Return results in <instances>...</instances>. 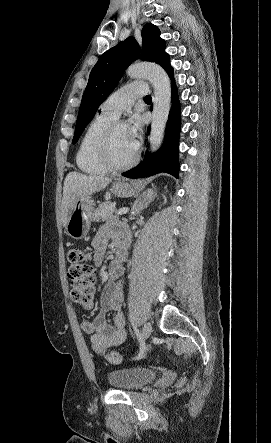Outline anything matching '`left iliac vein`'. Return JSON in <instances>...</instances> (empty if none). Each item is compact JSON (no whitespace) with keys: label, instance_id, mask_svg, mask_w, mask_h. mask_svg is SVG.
I'll return each instance as SVG.
<instances>
[{"label":"left iliac vein","instance_id":"1","mask_svg":"<svg viewBox=\"0 0 271 443\" xmlns=\"http://www.w3.org/2000/svg\"><path fill=\"white\" fill-rule=\"evenodd\" d=\"M152 332V327L150 323H145L142 329V337L144 340L148 339Z\"/></svg>","mask_w":271,"mask_h":443}]
</instances>
